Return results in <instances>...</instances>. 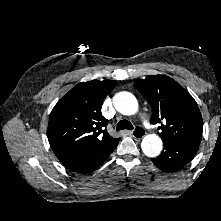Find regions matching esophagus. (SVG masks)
<instances>
[{
  "label": "esophagus",
  "mask_w": 221,
  "mask_h": 221,
  "mask_svg": "<svg viewBox=\"0 0 221 221\" xmlns=\"http://www.w3.org/2000/svg\"><path fill=\"white\" fill-rule=\"evenodd\" d=\"M131 135H132V137H134L135 139L140 140V139H142V138L145 136V132L143 131L142 128L137 127V128H136V131L131 132Z\"/></svg>",
  "instance_id": "obj_1"
}]
</instances>
